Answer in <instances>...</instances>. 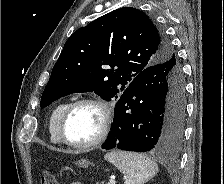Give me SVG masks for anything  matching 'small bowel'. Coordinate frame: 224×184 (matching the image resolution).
<instances>
[{
	"label": "small bowel",
	"mask_w": 224,
	"mask_h": 184,
	"mask_svg": "<svg viewBox=\"0 0 224 184\" xmlns=\"http://www.w3.org/2000/svg\"><path fill=\"white\" fill-rule=\"evenodd\" d=\"M71 184H82V183H80V182H74V183H71Z\"/></svg>",
	"instance_id": "small-bowel-1"
}]
</instances>
